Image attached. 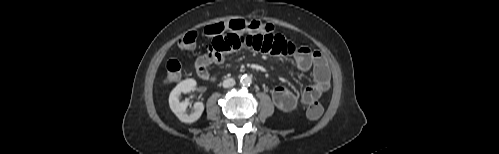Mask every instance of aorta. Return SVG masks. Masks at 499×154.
Wrapping results in <instances>:
<instances>
[{
    "mask_svg": "<svg viewBox=\"0 0 499 154\" xmlns=\"http://www.w3.org/2000/svg\"><path fill=\"white\" fill-rule=\"evenodd\" d=\"M240 83L243 85V86H249L251 83H252V78L251 76L247 75V74H244L241 76L240 78Z\"/></svg>",
    "mask_w": 499,
    "mask_h": 154,
    "instance_id": "aorta-1",
    "label": "aorta"
}]
</instances>
